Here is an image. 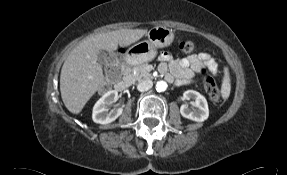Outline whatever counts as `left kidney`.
<instances>
[{"label":"left kidney","instance_id":"1","mask_svg":"<svg viewBox=\"0 0 287 175\" xmlns=\"http://www.w3.org/2000/svg\"><path fill=\"white\" fill-rule=\"evenodd\" d=\"M184 100H192V108L187 104L180 107V113L183 117L196 122H203L209 116L208 103L206 98L199 92L187 90L183 93Z\"/></svg>","mask_w":287,"mask_h":175}]
</instances>
